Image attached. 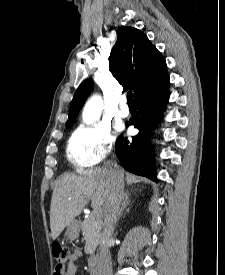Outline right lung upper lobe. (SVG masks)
Listing matches in <instances>:
<instances>
[{
  "label": "right lung upper lobe",
  "mask_w": 225,
  "mask_h": 275,
  "mask_svg": "<svg viewBox=\"0 0 225 275\" xmlns=\"http://www.w3.org/2000/svg\"><path fill=\"white\" fill-rule=\"evenodd\" d=\"M109 70L124 87L134 91V98L157 85L167 75L165 59L147 36L132 27L117 31V41L109 57ZM93 89L91 79L78 87L69 109L67 126L72 125Z\"/></svg>",
  "instance_id": "obj_1"
}]
</instances>
